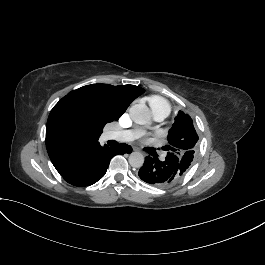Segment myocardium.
Instances as JSON below:
<instances>
[{
  "label": "myocardium",
  "instance_id": "f54148a6",
  "mask_svg": "<svg viewBox=\"0 0 265 265\" xmlns=\"http://www.w3.org/2000/svg\"><path fill=\"white\" fill-rule=\"evenodd\" d=\"M159 102H161L159 99H157V98H152L151 100H150V106H149V110L152 112V109L155 107V106H157V105H160V103ZM162 103V102H161ZM153 113V112H152ZM154 114V113H153ZM155 115V114H154ZM161 131V130H160Z\"/></svg>",
  "mask_w": 265,
  "mask_h": 265
}]
</instances>
